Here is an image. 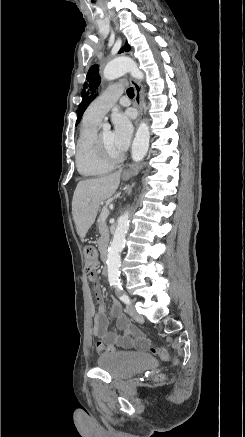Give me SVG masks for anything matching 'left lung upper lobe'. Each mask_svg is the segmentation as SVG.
Listing matches in <instances>:
<instances>
[{
  "mask_svg": "<svg viewBox=\"0 0 245 437\" xmlns=\"http://www.w3.org/2000/svg\"><path fill=\"white\" fill-rule=\"evenodd\" d=\"M130 46L128 43H125L124 48H122L119 53H122L123 51H129ZM98 65H93L90 67L86 82L84 83L83 90H82V102L80 103L78 107V118L76 121V126L79 124L81 117L88 107V105L95 99L97 96L96 89L100 85V76L98 73Z\"/></svg>",
  "mask_w": 245,
  "mask_h": 437,
  "instance_id": "obj_1",
  "label": "left lung upper lobe"
}]
</instances>
